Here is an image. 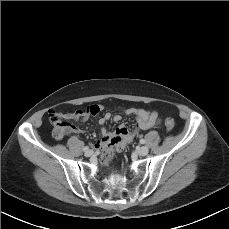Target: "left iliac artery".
<instances>
[{
  "label": "left iliac artery",
  "instance_id": "44dca946",
  "mask_svg": "<svg viewBox=\"0 0 229 229\" xmlns=\"http://www.w3.org/2000/svg\"><path fill=\"white\" fill-rule=\"evenodd\" d=\"M140 143H141V144H144V143H145V140H144V139H141V140H140Z\"/></svg>",
  "mask_w": 229,
  "mask_h": 229
}]
</instances>
